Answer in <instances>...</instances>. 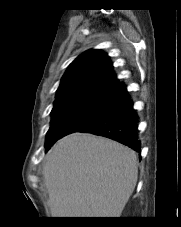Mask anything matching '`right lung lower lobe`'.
<instances>
[{
    "mask_svg": "<svg viewBox=\"0 0 181 227\" xmlns=\"http://www.w3.org/2000/svg\"><path fill=\"white\" fill-rule=\"evenodd\" d=\"M137 122L133 103L124 84L119 83L97 111L68 128L62 137L73 132L93 133L116 140L141 153ZM53 144H46V151Z\"/></svg>",
    "mask_w": 181,
    "mask_h": 227,
    "instance_id": "obj_1",
    "label": "right lung lower lobe"
}]
</instances>
